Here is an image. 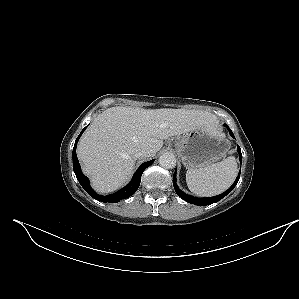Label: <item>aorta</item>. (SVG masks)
Here are the masks:
<instances>
[{
  "instance_id": "1",
  "label": "aorta",
  "mask_w": 299,
  "mask_h": 299,
  "mask_svg": "<svg viewBox=\"0 0 299 299\" xmlns=\"http://www.w3.org/2000/svg\"><path fill=\"white\" fill-rule=\"evenodd\" d=\"M159 164L166 169H172L176 165L175 155L172 153H164L159 157Z\"/></svg>"
}]
</instances>
